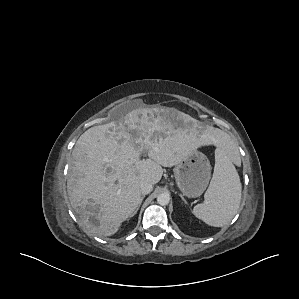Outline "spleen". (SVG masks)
I'll use <instances>...</instances> for the list:
<instances>
[{
  "mask_svg": "<svg viewBox=\"0 0 299 299\" xmlns=\"http://www.w3.org/2000/svg\"><path fill=\"white\" fill-rule=\"evenodd\" d=\"M242 185L229 150L218 144L215 151L214 173L204 195V203L197 204L193 214L213 227L228 224L241 202Z\"/></svg>",
  "mask_w": 299,
  "mask_h": 299,
  "instance_id": "obj_1",
  "label": "spleen"
}]
</instances>
